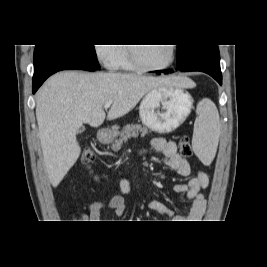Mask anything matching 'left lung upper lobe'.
Returning a JSON list of instances; mask_svg holds the SVG:
<instances>
[{
	"instance_id": "5c2ea615",
	"label": "left lung upper lobe",
	"mask_w": 267,
	"mask_h": 267,
	"mask_svg": "<svg viewBox=\"0 0 267 267\" xmlns=\"http://www.w3.org/2000/svg\"><path fill=\"white\" fill-rule=\"evenodd\" d=\"M217 47V45L213 44H203V45H178L177 56H178V67H182L185 65L193 56L197 53L209 49Z\"/></svg>"
}]
</instances>
